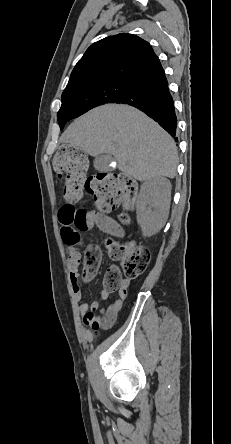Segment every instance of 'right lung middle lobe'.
I'll return each mask as SVG.
<instances>
[{"label":"right lung middle lobe","mask_w":231,"mask_h":444,"mask_svg":"<svg viewBox=\"0 0 231 444\" xmlns=\"http://www.w3.org/2000/svg\"><path fill=\"white\" fill-rule=\"evenodd\" d=\"M132 87L122 83H105L82 89L65 90L62 93V105L57 114L61 130L66 122L88 110L102 104L116 102Z\"/></svg>","instance_id":"dd1d6c3e"}]
</instances>
